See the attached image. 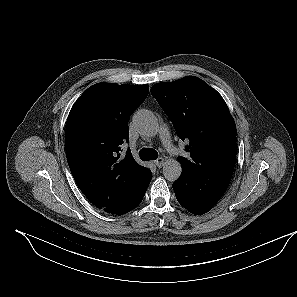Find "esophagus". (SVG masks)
<instances>
[{
	"label": "esophagus",
	"instance_id": "esophagus-1",
	"mask_svg": "<svg viewBox=\"0 0 297 297\" xmlns=\"http://www.w3.org/2000/svg\"><path fill=\"white\" fill-rule=\"evenodd\" d=\"M165 163V159L163 157H159L156 161H155V164L158 168H161L163 167Z\"/></svg>",
	"mask_w": 297,
	"mask_h": 297
}]
</instances>
